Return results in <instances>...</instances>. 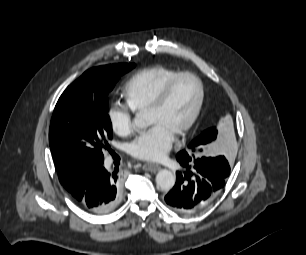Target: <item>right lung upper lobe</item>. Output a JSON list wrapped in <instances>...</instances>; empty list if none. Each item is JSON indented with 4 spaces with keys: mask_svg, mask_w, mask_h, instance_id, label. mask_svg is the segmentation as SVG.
<instances>
[{
    "mask_svg": "<svg viewBox=\"0 0 306 255\" xmlns=\"http://www.w3.org/2000/svg\"><path fill=\"white\" fill-rule=\"evenodd\" d=\"M109 71V65H106V66H100V67H95V68H92L90 70H87L83 75H87V74H90L94 77H101V76H104L108 73ZM69 192H71L74 187H69V188H66Z\"/></svg>",
    "mask_w": 306,
    "mask_h": 255,
    "instance_id": "obj_1",
    "label": "right lung upper lobe"
}]
</instances>
